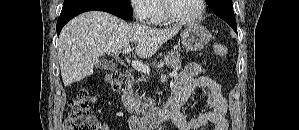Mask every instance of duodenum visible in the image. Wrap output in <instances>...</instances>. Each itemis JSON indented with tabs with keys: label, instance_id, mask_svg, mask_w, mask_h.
Wrapping results in <instances>:
<instances>
[{
	"label": "duodenum",
	"instance_id": "duodenum-1",
	"mask_svg": "<svg viewBox=\"0 0 299 130\" xmlns=\"http://www.w3.org/2000/svg\"><path fill=\"white\" fill-rule=\"evenodd\" d=\"M125 88L120 94V103L129 111L128 99L130 96L131 87L134 83V76L131 72L124 74ZM188 97L185 94L179 96L172 95L167 104L159 111L144 116L129 115L128 124L131 130H148L154 129L158 125L170 120H174L180 114V108L185 103Z\"/></svg>",
	"mask_w": 299,
	"mask_h": 130
}]
</instances>
